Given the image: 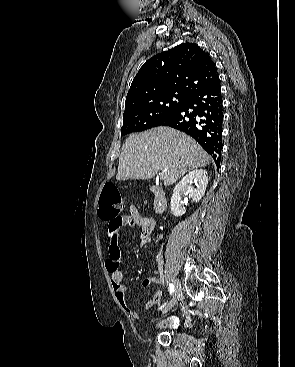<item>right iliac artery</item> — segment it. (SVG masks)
I'll use <instances>...</instances> for the list:
<instances>
[{
  "label": "right iliac artery",
  "instance_id": "82829eb1",
  "mask_svg": "<svg viewBox=\"0 0 295 367\" xmlns=\"http://www.w3.org/2000/svg\"><path fill=\"white\" fill-rule=\"evenodd\" d=\"M158 262H159V264L163 263V256L162 255L158 256ZM174 289H175L174 285L172 283H170L169 284V292H170L171 295L174 293ZM162 307H164V305Z\"/></svg>",
  "mask_w": 295,
  "mask_h": 367
}]
</instances>
